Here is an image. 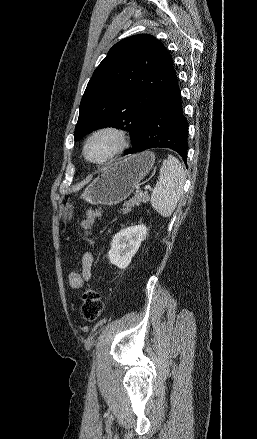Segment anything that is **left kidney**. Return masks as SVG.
I'll use <instances>...</instances> for the list:
<instances>
[{
  "label": "left kidney",
  "instance_id": "5707ae66",
  "mask_svg": "<svg viewBox=\"0 0 257 439\" xmlns=\"http://www.w3.org/2000/svg\"><path fill=\"white\" fill-rule=\"evenodd\" d=\"M146 236L144 225L131 226L115 234L108 252L110 262L121 269L127 268Z\"/></svg>",
  "mask_w": 257,
  "mask_h": 439
}]
</instances>
